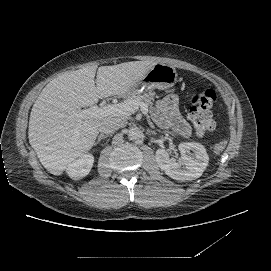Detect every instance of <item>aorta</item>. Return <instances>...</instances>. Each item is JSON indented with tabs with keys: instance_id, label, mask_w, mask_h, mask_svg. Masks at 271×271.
Instances as JSON below:
<instances>
[{
	"instance_id": "1",
	"label": "aorta",
	"mask_w": 271,
	"mask_h": 271,
	"mask_svg": "<svg viewBox=\"0 0 271 271\" xmlns=\"http://www.w3.org/2000/svg\"><path fill=\"white\" fill-rule=\"evenodd\" d=\"M142 136L143 132L138 127H132L127 130V137L132 141L139 140Z\"/></svg>"
}]
</instances>
